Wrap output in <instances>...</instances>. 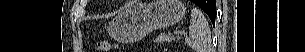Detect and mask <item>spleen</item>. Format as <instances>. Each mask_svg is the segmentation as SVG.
<instances>
[{"label":"spleen","instance_id":"1","mask_svg":"<svg viewBox=\"0 0 305 52\" xmlns=\"http://www.w3.org/2000/svg\"><path fill=\"white\" fill-rule=\"evenodd\" d=\"M185 42L195 52H211V31L203 13L193 8L191 10V22L189 26V35L185 38Z\"/></svg>","mask_w":305,"mask_h":52}]
</instances>
